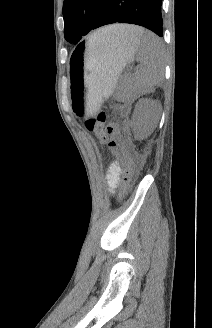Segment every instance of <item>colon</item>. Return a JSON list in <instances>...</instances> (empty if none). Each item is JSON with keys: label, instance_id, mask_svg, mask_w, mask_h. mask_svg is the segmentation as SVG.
<instances>
[{"label": "colon", "instance_id": "colon-1", "mask_svg": "<svg viewBox=\"0 0 212 328\" xmlns=\"http://www.w3.org/2000/svg\"><path fill=\"white\" fill-rule=\"evenodd\" d=\"M85 124L89 131L95 133L100 143L105 145L113 154L126 157V167L118 194V201L121 202L136 177L141 159L139 157L130 158L126 156L119 128L114 123H106L104 113L101 112L88 118Z\"/></svg>", "mask_w": 212, "mask_h": 328}]
</instances>
